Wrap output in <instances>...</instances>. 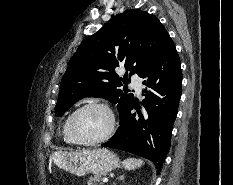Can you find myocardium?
<instances>
[{"mask_svg":"<svg viewBox=\"0 0 233 185\" xmlns=\"http://www.w3.org/2000/svg\"><path fill=\"white\" fill-rule=\"evenodd\" d=\"M89 108H102V109H104L110 117V126H109V129L106 131V133H104L100 137H97L94 139H82L76 134V132L74 130V121L79 113H81L82 111L89 109ZM115 129H116V117H115L113 110L111 109V107L108 104H106L104 102H100V101H91V102H88V103L80 106L79 108H77L76 110H74L72 112V114L70 115L69 120H68V132H69L70 137L77 144H81V145H95V144L102 143V142L108 140L114 134Z\"/></svg>","mask_w":233,"mask_h":185,"instance_id":"f54148a6","label":"myocardium"}]
</instances>
